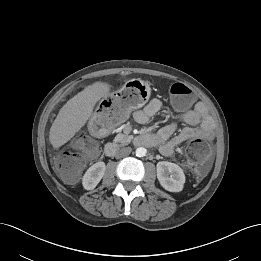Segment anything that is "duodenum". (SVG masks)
<instances>
[{
	"mask_svg": "<svg viewBox=\"0 0 261 261\" xmlns=\"http://www.w3.org/2000/svg\"><path fill=\"white\" fill-rule=\"evenodd\" d=\"M134 143L138 146H146V147H151L155 143V139L153 136L149 134H139L134 138ZM118 149V146L114 142H109L105 145L104 147V153L106 156H113Z\"/></svg>",
	"mask_w": 261,
	"mask_h": 261,
	"instance_id": "1",
	"label": "duodenum"
}]
</instances>
